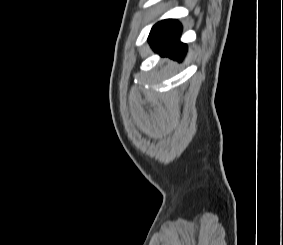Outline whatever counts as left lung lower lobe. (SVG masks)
Returning <instances> with one entry per match:
<instances>
[{
	"label": "left lung lower lobe",
	"mask_w": 283,
	"mask_h": 245,
	"mask_svg": "<svg viewBox=\"0 0 283 245\" xmlns=\"http://www.w3.org/2000/svg\"><path fill=\"white\" fill-rule=\"evenodd\" d=\"M181 24L174 19L158 22L151 30L148 40L152 48L163 56L181 60L186 53V45L179 42Z\"/></svg>",
	"instance_id": "obj_1"
}]
</instances>
